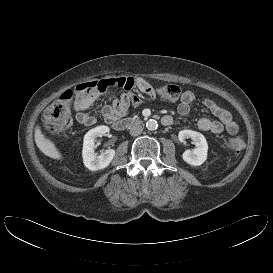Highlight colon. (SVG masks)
<instances>
[{
	"instance_id": "1",
	"label": "colon",
	"mask_w": 273,
	"mask_h": 273,
	"mask_svg": "<svg viewBox=\"0 0 273 273\" xmlns=\"http://www.w3.org/2000/svg\"><path fill=\"white\" fill-rule=\"evenodd\" d=\"M137 79L133 77H119L95 80L78 85L75 89L63 92L51 102L44 115L43 126L50 134H61L66 131L71 123V108L73 101L94 95H99L111 88H120L129 91L135 87ZM156 95L168 99H177L180 88L175 84H168L156 91ZM227 148L233 152H240L245 147L241 137L230 138L226 143Z\"/></svg>"
}]
</instances>
